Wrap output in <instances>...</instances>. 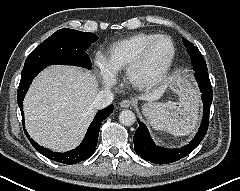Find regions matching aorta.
I'll use <instances>...</instances> for the list:
<instances>
[{
  "label": "aorta",
  "mask_w": 240,
  "mask_h": 191,
  "mask_svg": "<svg viewBox=\"0 0 240 191\" xmlns=\"http://www.w3.org/2000/svg\"><path fill=\"white\" fill-rule=\"evenodd\" d=\"M136 116L131 110H123L119 114V121L124 126H131L134 124Z\"/></svg>",
  "instance_id": "762f6f07"
}]
</instances>
